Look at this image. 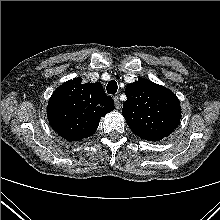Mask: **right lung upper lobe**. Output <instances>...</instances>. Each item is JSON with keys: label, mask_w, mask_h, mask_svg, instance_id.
<instances>
[{"label": "right lung upper lobe", "mask_w": 220, "mask_h": 220, "mask_svg": "<svg viewBox=\"0 0 220 220\" xmlns=\"http://www.w3.org/2000/svg\"><path fill=\"white\" fill-rule=\"evenodd\" d=\"M101 83L82 84V78L59 86L49 99L47 116L53 130L68 141L92 136L101 117L114 109Z\"/></svg>", "instance_id": "obj_1"}]
</instances>
